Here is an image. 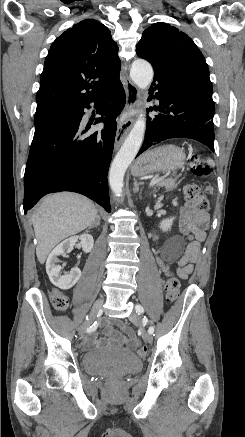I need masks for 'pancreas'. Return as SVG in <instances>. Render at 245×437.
<instances>
[{"instance_id":"pancreas-1","label":"pancreas","mask_w":245,"mask_h":437,"mask_svg":"<svg viewBox=\"0 0 245 437\" xmlns=\"http://www.w3.org/2000/svg\"><path fill=\"white\" fill-rule=\"evenodd\" d=\"M176 180V178L162 179L157 183V186L164 187L167 191H170L177 186Z\"/></svg>"}]
</instances>
